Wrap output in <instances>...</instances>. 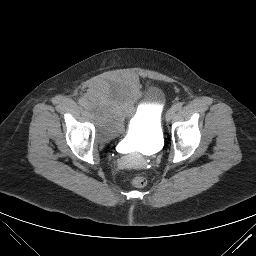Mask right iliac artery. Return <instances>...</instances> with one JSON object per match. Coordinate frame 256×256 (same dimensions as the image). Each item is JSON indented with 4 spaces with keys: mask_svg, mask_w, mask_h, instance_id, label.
<instances>
[{
    "mask_svg": "<svg viewBox=\"0 0 256 256\" xmlns=\"http://www.w3.org/2000/svg\"><path fill=\"white\" fill-rule=\"evenodd\" d=\"M79 104L82 105V106H85V105H86V100L83 99V98H81V99L79 100Z\"/></svg>",
    "mask_w": 256,
    "mask_h": 256,
    "instance_id": "obj_1",
    "label": "right iliac artery"
}]
</instances>
